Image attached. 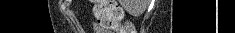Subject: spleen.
I'll return each mask as SVG.
<instances>
[{
  "label": "spleen",
  "mask_w": 235,
  "mask_h": 33,
  "mask_svg": "<svg viewBox=\"0 0 235 33\" xmlns=\"http://www.w3.org/2000/svg\"><path fill=\"white\" fill-rule=\"evenodd\" d=\"M145 7H146V6H143L142 8L138 9V10H137L136 12H134V13H140V12H142V10H144Z\"/></svg>",
  "instance_id": "3e777b00"
}]
</instances>
